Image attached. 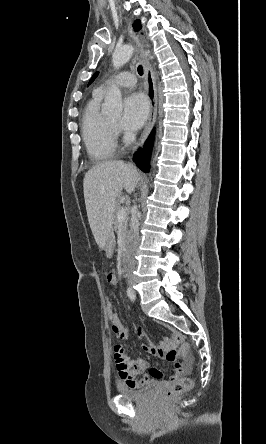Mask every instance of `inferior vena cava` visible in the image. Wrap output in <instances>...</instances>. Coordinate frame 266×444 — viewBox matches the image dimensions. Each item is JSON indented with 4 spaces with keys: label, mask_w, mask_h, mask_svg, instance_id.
Here are the masks:
<instances>
[{
    "label": "inferior vena cava",
    "mask_w": 266,
    "mask_h": 444,
    "mask_svg": "<svg viewBox=\"0 0 266 444\" xmlns=\"http://www.w3.org/2000/svg\"><path fill=\"white\" fill-rule=\"evenodd\" d=\"M139 242V214L137 211L132 212L130 231L128 237V259H127V269L129 271L135 268L134 251L138 246Z\"/></svg>",
    "instance_id": "1"
}]
</instances>
